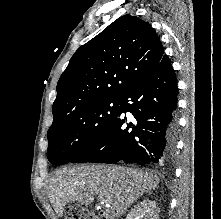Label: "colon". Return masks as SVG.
<instances>
[{"mask_svg":"<svg viewBox=\"0 0 221 219\" xmlns=\"http://www.w3.org/2000/svg\"><path fill=\"white\" fill-rule=\"evenodd\" d=\"M95 215L83 208L70 207L66 212V219H95Z\"/></svg>","mask_w":221,"mask_h":219,"instance_id":"1","label":"colon"}]
</instances>
